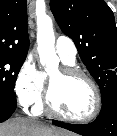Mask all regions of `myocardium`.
I'll return each instance as SVG.
<instances>
[{"label":"myocardium","instance_id":"myocardium-1","mask_svg":"<svg viewBox=\"0 0 117 136\" xmlns=\"http://www.w3.org/2000/svg\"><path fill=\"white\" fill-rule=\"evenodd\" d=\"M60 76L62 79L82 78L90 85L94 93V99H95L93 111L86 117L77 118V117H71L65 115L60 110H58L52 101V88L54 85V81L51 77L49 78L47 89H46V95H45V106L47 111L50 114L62 120L72 123H88L94 120L99 115L102 107V97L96 82L92 79V77L89 74H87L83 70L69 65L63 66L60 69Z\"/></svg>","mask_w":117,"mask_h":136}]
</instances>
